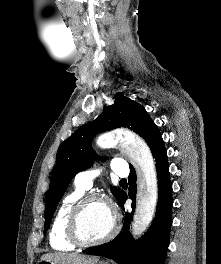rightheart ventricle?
Listing matches in <instances>:
<instances>
[{"mask_svg": "<svg viewBox=\"0 0 221 264\" xmlns=\"http://www.w3.org/2000/svg\"><path fill=\"white\" fill-rule=\"evenodd\" d=\"M84 195V190L77 186L69 192L61 201L52 222L49 242L51 247L57 251H72L75 245L70 242L66 234V222L69 211L75 202Z\"/></svg>", "mask_w": 221, "mask_h": 264, "instance_id": "e07e8e85", "label": "right heart ventricle"}]
</instances>
